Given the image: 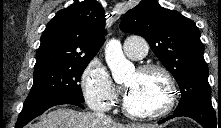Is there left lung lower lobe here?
I'll return each mask as SVG.
<instances>
[{"instance_id":"obj_1","label":"left lung lower lobe","mask_w":221,"mask_h":128,"mask_svg":"<svg viewBox=\"0 0 221 128\" xmlns=\"http://www.w3.org/2000/svg\"><path fill=\"white\" fill-rule=\"evenodd\" d=\"M180 116L190 117L196 120L203 128H221V118L219 115L217 117L214 109L200 106L191 107L180 112H174L173 115L158 121V123H164L172 118Z\"/></svg>"}]
</instances>
